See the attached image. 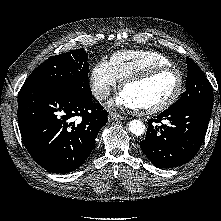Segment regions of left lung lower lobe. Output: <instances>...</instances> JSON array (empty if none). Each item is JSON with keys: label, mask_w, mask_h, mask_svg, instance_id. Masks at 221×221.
I'll use <instances>...</instances> for the list:
<instances>
[{"label": "left lung lower lobe", "mask_w": 221, "mask_h": 221, "mask_svg": "<svg viewBox=\"0 0 221 221\" xmlns=\"http://www.w3.org/2000/svg\"><path fill=\"white\" fill-rule=\"evenodd\" d=\"M212 107L213 103L193 102L165 110L148 121L141 150L159 168H174L189 162L204 141ZM165 120L169 124H163Z\"/></svg>", "instance_id": "left-lung-lower-lobe-1"}]
</instances>
